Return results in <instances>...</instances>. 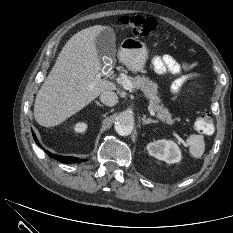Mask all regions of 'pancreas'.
Segmentation results:
<instances>
[{"mask_svg":"<svg viewBox=\"0 0 233 233\" xmlns=\"http://www.w3.org/2000/svg\"><path fill=\"white\" fill-rule=\"evenodd\" d=\"M133 89H142L148 96L150 100L151 108L157 112V117L167 124H173L174 119L164 106L160 105V98L158 96V84L154 83L152 80L146 78L145 76H136L130 79Z\"/></svg>","mask_w":233,"mask_h":233,"instance_id":"pancreas-1","label":"pancreas"}]
</instances>
